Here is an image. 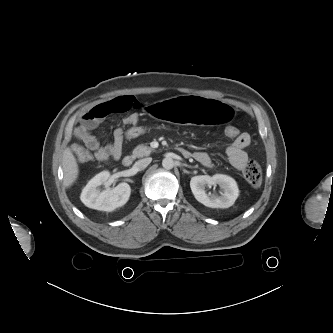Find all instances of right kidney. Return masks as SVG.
Masks as SVG:
<instances>
[{"instance_id":"right-kidney-1","label":"right kidney","mask_w":333,"mask_h":333,"mask_svg":"<svg viewBox=\"0 0 333 333\" xmlns=\"http://www.w3.org/2000/svg\"><path fill=\"white\" fill-rule=\"evenodd\" d=\"M110 178L109 171H102L93 177L82 190L80 199L89 208L111 212L125 205L130 197L131 188L127 183H120L115 188L99 191L100 185H106Z\"/></svg>"}]
</instances>
